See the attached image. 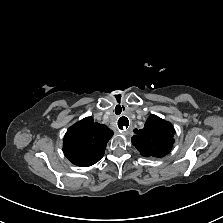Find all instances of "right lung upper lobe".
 <instances>
[{
    "label": "right lung upper lobe",
    "instance_id": "obj_1",
    "mask_svg": "<svg viewBox=\"0 0 223 223\" xmlns=\"http://www.w3.org/2000/svg\"><path fill=\"white\" fill-rule=\"evenodd\" d=\"M113 134L106 125L94 122L91 117L84 118L67 130L63 152L73 164L91 166L103 157Z\"/></svg>",
    "mask_w": 223,
    "mask_h": 223
}]
</instances>
